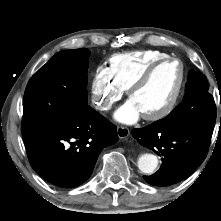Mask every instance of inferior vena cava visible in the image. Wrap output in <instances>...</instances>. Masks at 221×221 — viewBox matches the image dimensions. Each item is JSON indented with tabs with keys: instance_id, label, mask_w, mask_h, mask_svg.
<instances>
[{
	"instance_id": "obj_1",
	"label": "inferior vena cava",
	"mask_w": 221,
	"mask_h": 221,
	"mask_svg": "<svg viewBox=\"0 0 221 221\" xmlns=\"http://www.w3.org/2000/svg\"><path fill=\"white\" fill-rule=\"evenodd\" d=\"M110 107L109 106H103V107H100V110H108Z\"/></svg>"
}]
</instances>
